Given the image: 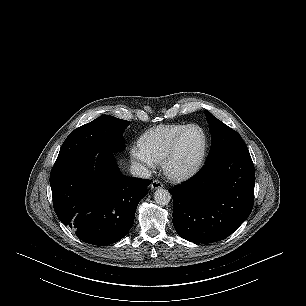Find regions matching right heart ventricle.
Returning a JSON list of instances; mask_svg holds the SVG:
<instances>
[{
	"label": "right heart ventricle",
	"mask_w": 306,
	"mask_h": 306,
	"mask_svg": "<svg viewBox=\"0 0 306 306\" xmlns=\"http://www.w3.org/2000/svg\"><path fill=\"white\" fill-rule=\"evenodd\" d=\"M186 125H161L146 131L139 139L140 146L156 162H163L175 138Z\"/></svg>",
	"instance_id": "1"
}]
</instances>
